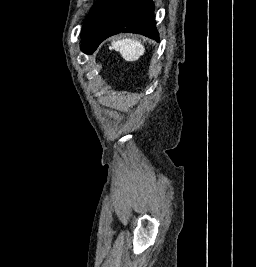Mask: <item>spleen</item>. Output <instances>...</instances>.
<instances>
[{
	"instance_id": "obj_1",
	"label": "spleen",
	"mask_w": 256,
	"mask_h": 267,
	"mask_svg": "<svg viewBox=\"0 0 256 267\" xmlns=\"http://www.w3.org/2000/svg\"><path fill=\"white\" fill-rule=\"evenodd\" d=\"M112 46L116 52H120L126 62H136L145 52L143 44L138 42V40H131V38H124V40L112 42Z\"/></svg>"
}]
</instances>
